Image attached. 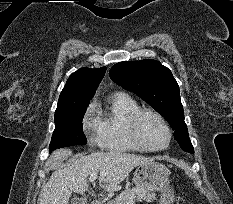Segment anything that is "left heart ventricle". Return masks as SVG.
Listing matches in <instances>:
<instances>
[{
    "label": "left heart ventricle",
    "instance_id": "left-heart-ventricle-1",
    "mask_svg": "<svg viewBox=\"0 0 233 204\" xmlns=\"http://www.w3.org/2000/svg\"><path fill=\"white\" fill-rule=\"evenodd\" d=\"M140 134L146 145L159 148L166 144L168 135L163 124L153 115L146 114L140 122Z\"/></svg>",
    "mask_w": 233,
    "mask_h": 204
}]
</instances>
